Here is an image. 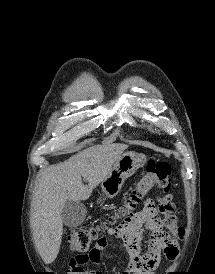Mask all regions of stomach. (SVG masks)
<instances>
[{
    "label": "stomach",
    "mask_w": 215,
    "mask_h": 274,
    "mask_svg": "<svg viewBox=\"0 0 215 274\" xmlns=\"http://www.w3.org/2000/svg\"><path fill=\"white\" fill-rule=\"evenodd\" d=\"M146 162L144 155L135 152H126L115 162L111 173L101 182L105 198H113L120 191L125 180L132 176L137 169ZM99 201H101L99 199Z\"/></svg>",
    "instance_id": "1"
}]
</instances>
